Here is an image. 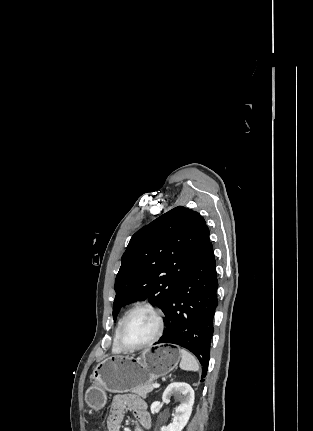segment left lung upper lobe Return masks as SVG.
I'll return each instance as SVG.
<instances>
[{
	"mask_svg": "<svg viewBox=\"0 0 313 431\" xmlns=\"http://www.w3.org/2000/svg\"><path fill=\"white\" fill-rule=\"evenodd\" d=\"M196 211L178 206L137 231L122 256L115 280L113 319L121 306L148 299L163 312L209 242Z\"/></svg>",
	"mask_w": 313,
	"mask_h": 431,
	"instance_id": "1",
	"label": "left lung upper lobe"
}]
</instances>
